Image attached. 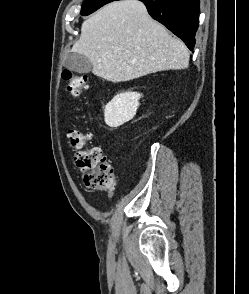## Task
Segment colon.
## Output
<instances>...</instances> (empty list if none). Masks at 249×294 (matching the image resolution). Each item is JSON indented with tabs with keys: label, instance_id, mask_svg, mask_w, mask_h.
Segmentation results:
<instances>
[{
	"label": "colon",
	"instance_id": "obj_1",
	"mask_svg": "<svg viewBox=\"0 0 249 294\" xmlns=\"http://www.w3.org/2000/svg\"><path fill=\"white\" fill-rule=\"evenodd\" d=\"M63 79L67 82L68 92L75 97L89 88L88 78L85 75L65 70ZM68 138L75 149L74 160L83 174L84 184L95 190H114L116 185L114 168L99 147L88 146L91 135L79 128H72L68 131Z\"/></svg>",
	"mask_w": 249,
	"mask_h": 294
}]
</instances>
